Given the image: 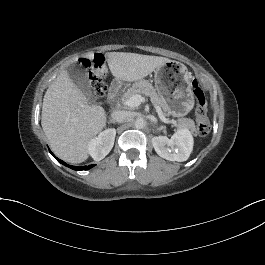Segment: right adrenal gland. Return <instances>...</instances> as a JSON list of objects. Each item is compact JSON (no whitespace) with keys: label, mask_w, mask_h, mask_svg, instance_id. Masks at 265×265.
Masks as SVG:
<instances>
[{"label":"right adrenal gland","mask_w":265,"mask_h":265,"mask_svg":"<svg viewBox=\"0 0 265 265\" xmlns=\"http://www.w3.org/2000/svg\"><path fill=\"white\" fill-rule=\"evenodd\" d=\"M111 124H114V125H115V124H116V122H115V121H113V120H110V121H109V125H111Z\"/></svg>","instance_id":"obj_1"}]
</instances>
